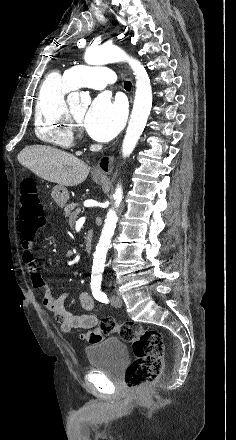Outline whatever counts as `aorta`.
I'll return each mask as SVG.
<instances>
[{
    "label": "aorta",
    "mask_w": 236,
    "mask_h": 440,
    "mask_svg": "<svg viewBox=\"0 0 236 440\" xmlns=\"http://www.w3.org/2000/svg\"><path fill=\"white\" fill-rule=\"evenodd\" d=\"M84 60L89 65H103L115 62H128L136 79V92L132 113L122 144V155L128 157L136 147L140 136L146 126L152 107V87L150 78L144 66L137 59L130 57L120 47L105 44L99 47H89L84 54ZM90 98L83 92H73L68 96V104L74 105L80 101H89ZM123 198L121 185H117L114 194L115 208L119 207ZM118 217L114 209H110L106 215L105 223L101 232L99 243L94 253L92 265V278L101 279L105 267L106 255L111 238L114 235Z\"/></svg>",
    "instance_id": "obj_1"
}]
</instances>
